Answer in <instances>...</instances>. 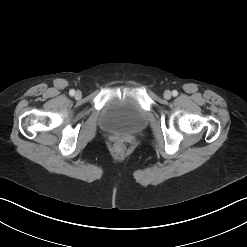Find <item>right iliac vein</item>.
<instances>
[{"mask_svg":"<svg viewBox=\"0 0 247 247\" xmlns=\"http://www.w3.org/2000/svg\"><path fill=\"white\" fill-rule=\"evenodd\" d=\"M81 96H82V93H81L80 91H76V93H75V98H76V99H80Z\"/></svg>","mask_w":247,"mask_h":247,"instance_id":"1","label":"right iliac vein"}]
</instances>
